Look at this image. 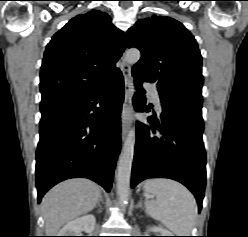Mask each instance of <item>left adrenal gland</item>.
Segmentation results:
<instances>
[{
	"instance_id": "a2214340",
	"label": "left adrenal gland",
	"mask_w": 248,
	"mask_h": 237,
	"mask_svg": "<svg viewBox=\"0 0 248 237\" xmlns=\"http://www.w3.org/2000/svg\"><path fill=\"white\" fill-rule=\"evenodd\" d=\"M137 207H138V208H143V206H142V199H141L140 202L138 203Z\"/></svg>"
}]
</instances>
